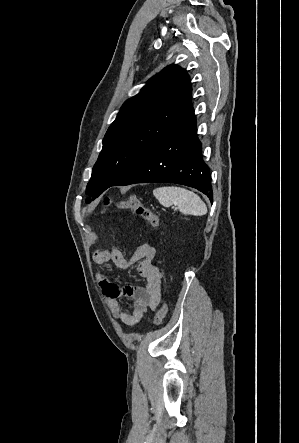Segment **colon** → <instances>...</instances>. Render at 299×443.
<instances>
[{
	"label": "colon",
	"mask_w": 299,
	"mask_h": 443,
	"mask_svg": "<svg viewBox=\"0 0 299 443\" xmlns=\"http://www.w3.org/2000/svg\"><path fill=\"white\" fill-rule=\"evenodd\" d=\"M104 210H108L109 208H114L116 210H122L139 216L146 220L151 226L157 227L160 223L159 217L153 213L150 209L145 207L141 199L137 195H129L123 200L113 201L109 198L104 199L103 201ZM167 314V305L166 303H162L158 312L154 317V325H160L165 316Z\"/></svg>",
	"instance_id": "1"
}]
</instances>
